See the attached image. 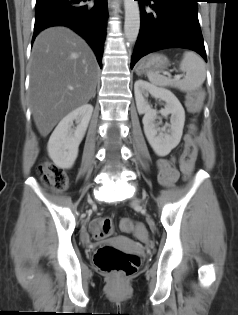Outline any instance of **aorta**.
Instances as JSON below:
<instances>
[{
    "instance_id": "1",
    "label": "aorta",
    "mask_w": 238,
    "mask_h": 315,
    "mask_svg": "<svg viewBox=\"0 0 238 315\" xmlns=\"http://www.w3.org/2000/svg\"><path fill=\"white\" fill-rule=\"evenodd\" d=\"M125 23L124 34L129 43L137 40L140 29V10L137 1L124 0Z\"/></svg>"
}]
</instances>
